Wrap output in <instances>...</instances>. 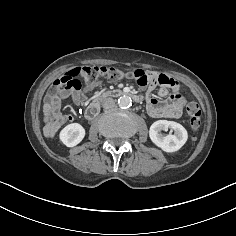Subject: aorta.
<instances>
[{
	"label": "aorta",
	"mask_w": 236,
	"mask_h": 236,
	"mask_svg": "<svg viewBox=\"0 0 236 236\" xmlns=\"http://www.w3.org/2000/svg\"><path fill=\"white\" fill-rule=\"evenodd\" d=\"M118 105L122 109L129 108L132 105V100H131V98L129 96H126V95L121 96L118 99Z\"/></svg>",
	"instance_id": "762f6f07"
}]
</instances>
